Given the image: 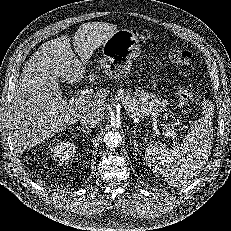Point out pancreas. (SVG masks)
Here are the masks:
<instances>
[{"mask_svg":"<svg viewBox=\"0 0 231 231\" xmlns=\"http://www.w3.org/2000/svg\"><path fill=\"white\" fill-rule=\"evenodd\" d=\"M113 101L120 102L131 117L145 116L151 112L160 115L167 106L166 100H160L148 92L137 89L134 93L118 89ZM167 114H164L166 117Z\"/></svg>","mask_w":231,"mask_h":231,"instance_id":"obj_1","label":"pancreas"}]
</instances>
